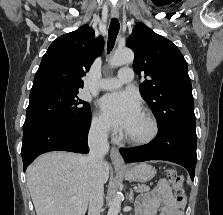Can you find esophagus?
Returning <instances> with one entry per match:
<instances>
[{"label": "esophagus", "mask_w": 223, "mask_h": 215, "mask_svg": "<svg viewBox=\"0 0 223 215\" xmlns=\"http://www.w3.org/2000/svg\"><path fill=\"white\" fill-rule=\"evenodd\" d=\"M111 16L113 18H118L119 17V12L117 9H112L111 10ZM110 157H111V161L115 166H124V160L122 158V156L120 155L119 149L117 147H111L110 150Z\"/></svg>", "instance_id": "34e87169"}]
</instances>
